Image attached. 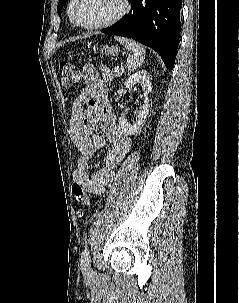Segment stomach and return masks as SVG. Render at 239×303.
<instances>
[{
	"label": "stomach",
	"instance_id": "stomach-1",
	"mask_svg": "<svg viewBox=\"0 0 239 303\" xmlns=\"http://www.w3.org/2000/svg\"><path fill=\"white\" fill-rule=\"evenodd\" d=\"M118 48L117 47H104L103 49H101V53H105L106 55H111V56H115L118 54Z\"/></svg>",
	"mask_w": 239,
	"mask_h": 303
}]
</instances>
